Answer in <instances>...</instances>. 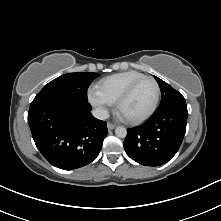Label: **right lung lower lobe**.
I'll use <instances>...</instances> for the list:
<instances>
[{
    "label": "right lung lower lobe",
    "instance_id": "98d812e1",
    "mask_svg": "<svg viewBox=\"0 0 221 221\" xmlns=\"http://www.w3.org/2000/svg\"><path fill=\"white\" fill-rule=\"evenodd\" d=\"M87 100L50 98L30 105L28 123L34 142L45 159L57 168L77 169L99 154L108 133Z\"/></svg>",
    "mask_w": 221,
    "mask_h": 221
}]
</instances>
